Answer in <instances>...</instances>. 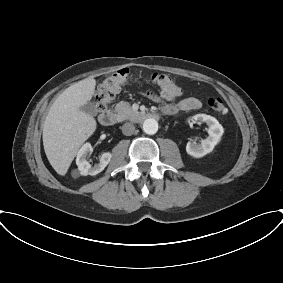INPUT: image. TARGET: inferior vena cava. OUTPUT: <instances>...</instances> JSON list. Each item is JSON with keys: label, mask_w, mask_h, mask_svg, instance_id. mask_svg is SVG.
<instances>
[{"label": "inferior vena cava", "mask_w": 283, "mask_h": 283, "mask_svg": "<svg viewBox=\"0 0 283 283\" xmlns=\"http://www.w3.org/2000/svg\"><path fill=\"white\" fill-rule=\"evenodd\" d=\"M122 133L126 136H131L135 131V126L132 123H125L122 126Z\"/></svg>", "instance_id": "obj_1"}]
</instances>
